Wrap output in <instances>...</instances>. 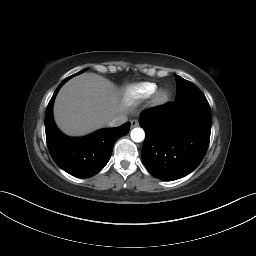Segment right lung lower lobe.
Instances as JSON below:
<instances>
[{"mask_svg":"<svg viewBox=\"0 0 256 256\" xmlns=\"http://www.w3.org/2000/svg\"><path fill=\"white\" fill-rule=\"evenodd\" d=\"M63 81L55 90L46 109L45 131L49 152L55 163L64 171L78 178H89L100 172L109 161L114 143L128 133L130 122L116 128L101 129L82 138H70L56 127L52 108L55 96Z\"/></svg>","mask_w":256,"mask_h":256,"instance_id":"1","label":"right lung lower lobe"}]
</instances>
